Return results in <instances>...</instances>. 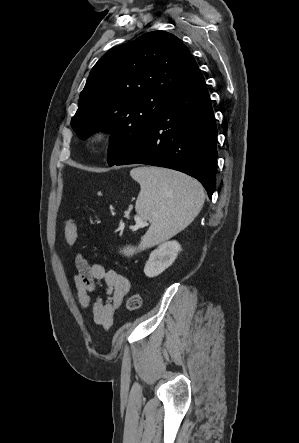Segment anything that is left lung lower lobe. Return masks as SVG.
Returning a JSON list of instances; mask_svg holds the SVG:
<instances>
[{"mask_svg": "<svg viewBox=\"0 0 299 443\" xmlns=\"http://www.w3.org/2000/svg\"><path fill=\"white\" fill-rule=\"evenodd\" d=\"M216 145L211 100L198 68L176 90L153 125L114 165L147 164L181 171L201 182L211 199L216 185Z\"/></svg>", "mask_w": 299, "mask_h": 443, "instance_id": "0a47b994", "label": "left lung lower lobe"}]
</instances>
